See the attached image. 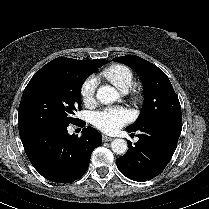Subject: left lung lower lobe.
Returning <instances> with one entry per match:
<instances>
[{
	"instance_id": "0a47b994",
	"label": "left lung lower lobe",
	"mask_w": 209,
	"mask_h": 209,
	"mask_svg": "<svg viewBox=\"0 0 209 209\" xmlns=\"http://www.w3.org/2000/svg\"><path fill=\"white\" fill-rule=\"evenodd\" d=\"M182 124L162 123L143 127L139 130L127 129L128 132L139 131L138 142L121 158L116 159L119 171L129 179L143 182L159 175L171 160Z\"/></svg>"
}]
</instances>
